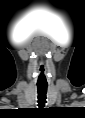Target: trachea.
Returning <instances> with one entry per match:
<instances>
[{
	"label": "trachea",
	"instance_id": "obj_1",
	"mask_svg": "<svg viewBox=\"0 0 85 118\" xmlns=\"http://www.w3.org/2000/svg\"><path fill=\"white\" fill-rule=\"evenodd\" d=\"M46 93V88H38V105L41 107L46 103Z\"/></svg>",
	"mask_w": 85,
	"mask_h": 118
}]
</instances>
